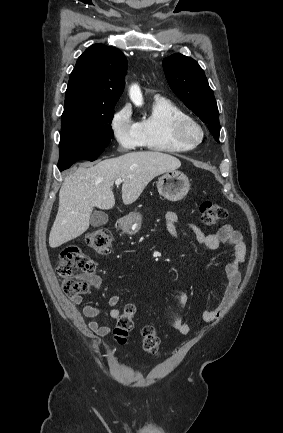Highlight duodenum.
Masks as SVG:
<instances>
[{"instance_id":"obj_1","label":"duodenum","mask_w":283,"mask_h":433,"mask_svg":"<svg viewBox=\"0 0 283 433\" xmlns=\"http://www.w3.org/2000/svg\"><path fill=\"white\" fill-rule=\"evenodd\" d=\"M118 227H119L120 229H123V228H124V224H123L122 222H120V223H118Z\"/></svg>"}]
</instances>
